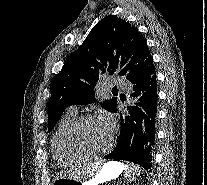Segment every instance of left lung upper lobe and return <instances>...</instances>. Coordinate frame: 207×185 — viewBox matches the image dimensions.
<instances>
[{"mask_svg": "<svg viewBox=\"0 0 207 185\" xmlns=\"http://www.w3.org/2000/svg\"><path fill=\"white\" fill-rule=\"evenodd\" d=\"M152 64L146 41L134 26L113 15L104 17L52 79L48 132L67 106L96 101L94 87L104 74H118L130 81ZM102 106L116 112L117 98Z\"/></svg>", "mask_w": 207, "mask_h": 185, "instance_id": "left-lung-upper-lobe-1", "label": "left lung upper lobe"}]
</instances>
